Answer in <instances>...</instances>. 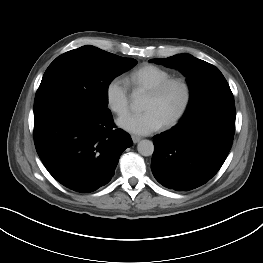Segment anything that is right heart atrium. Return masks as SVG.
Masks as SVG:
<instances>
[{"label":"right heart atrium","mask_w":263,"mask_h":263,"mask_svg":"<svg viewBox=\"0 0 263 263\" xmlns=\"http://www.w3.org/2000/svg\"><path fill=\"white\" fill-rule=\"evenodd\" d=\"M105 101L110 111L120 116L129 107V94L124 81L120 77L110 79L105 87Z\"/></svg>","instance_id":"obj_1"}]
</instances>
